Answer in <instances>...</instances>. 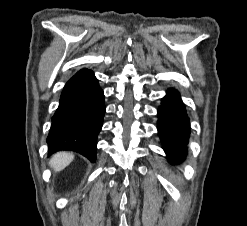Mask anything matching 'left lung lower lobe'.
<instances>
[{
  "mask_svg": "<svg viewBox=\"0 0 247 226\" xmlns=\"http://www.w3.org/2000/svg\"><path fill=\"white\" fill-rule=\"evenodd\" d=\"M158 110V131L163 149L173 163L181 162L186 156V145L190 134L189 118L179 93L167 92Z\"/></svg>",
  "mask_w": 247,
  "mask_h": 226,
  "instance_id": "0a47b994",
  "label": "left lung lower lobe"
}]
</instances>
